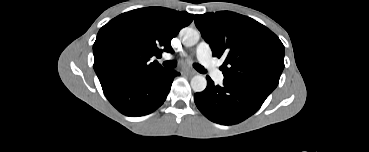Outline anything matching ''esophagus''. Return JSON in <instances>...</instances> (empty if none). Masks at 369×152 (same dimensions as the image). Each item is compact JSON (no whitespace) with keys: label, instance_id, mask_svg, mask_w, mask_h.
<instances>
[{"label":"esophagus","instance_id":"esophagus-1","mask_svg":"<svg viewBox=\"0 0 369 152\" xmlns=\"http://www.w3.org/2000/svg\"><path fill=\"white\" fill-rule=\"evenodd\" d=\"M196 71H194V70H184L183 71V75H185V76H189V77H191V76H194V75H196Z\"/></svg>","mask_w":369,"mask_h":152}]
</instances>
